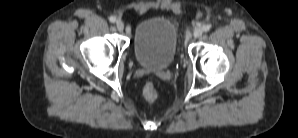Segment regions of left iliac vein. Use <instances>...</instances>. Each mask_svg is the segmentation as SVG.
<instances>
[{
  "mask_svg": "<svg viewBox=\"0 0 298 138\" xmlns=\"http://www.w3.org/2000/svg\"><path fill=\"white\" fill-rule=\"evenodd\" d=\"M202 33H203V30H202V28H196L195 30H194V32H193V36L195 37V38H198V37H200L201 35H202Z\"/></svg>",
  "mask_w": 298,
  "mask_h": 138,
  "instance_id": "4c4485c4",
  "label": "left iliac vein"
}]
</instances>
